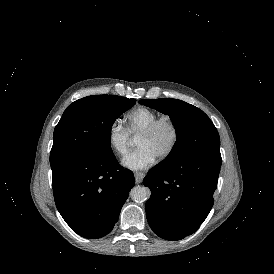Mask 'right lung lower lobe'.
Masks as SVG:
<instances>
[{"label": "right lung lower lobe", "mask_w": 274, "mask_h": 274, "mask_svg": "<svg viewBox=\"0 0 274 274\" xmlns=\"http://www.w3.org/2000/svg\"><path fill=\"white\" fill-rule=\"evenodd\" d=\"M51 168L55 203L66 223L85 238L108 234L135 184L133 173L114 154L68 158Z\"/></svg>", "instance_id": "obj_1"}]
</instances>
